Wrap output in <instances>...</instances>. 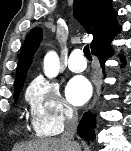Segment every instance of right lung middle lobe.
<instances>
[{"label": "right lung middle lobe", "instance_id": "obj_1", "mask_svg": "<svg viewBox=\"0 0 131 151\" xmlns=\"http://www.w3.org/2000/svg\"><path fill=\"white\" fill-rule=\"evenodd\" d=\"M21 90H22V87H20V88L14 90V100H15V101H17Z\"/></svg>", "mask_w": 131, "mask_h": 151}]
</instances>
